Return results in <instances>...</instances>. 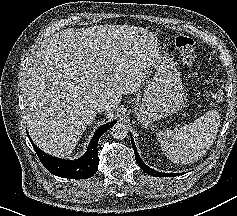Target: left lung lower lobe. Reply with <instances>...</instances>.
Listing matches in <instances>:
<instances>
[{
    "instance_id": "0a47b994",
    "label": "left lung lower lobe",
    "mask_w": 237,
    "mask_h": 216,
    "mask_svg": "<svg viewBox=\"0 0 237 216\" xmlns=\"http://www.w3.org/2000/svg\"><path fill=\"white\" fill-rule=\"evenodd\" d=\"M131 142H132V145H133V149H134V153H135V159H136V162L137 164L139 165V167L147 174H150L151 176H154V177H173V176H176V175H179V174H166V173H162V172H158V171H155L151 168H149L140 158L138 152H137V149H136V146H135V143H134V139L133 137L131 136ZM184 173H182L181 175H183Z\"/></svg>"
}]
</instances>
